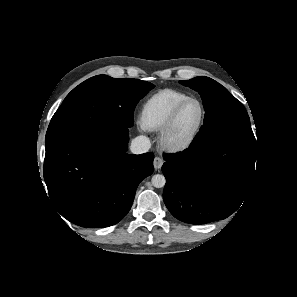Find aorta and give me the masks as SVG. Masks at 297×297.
Returning a JSON list of instances; mask_svg holds the SVG:
<instances>
[{"label": "aorta", "instance_id": "762f6f07", "mask_svg": "<svg viewBox=\"0 0 297 297\" xmlns=\"http://www.w3.org/2000/svg\"><path fill=\"white\" fill-rule=\"evenodd\" d=\"M152 185L156 188H162L165 186L166 180L164 175L155 174L151 179Z\"/></svg>", "mask_w": 297, "mask_h": 297}]
</instances>
